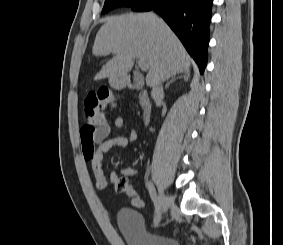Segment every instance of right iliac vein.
<instances>
[{"label": "right iliac vein", "mask_w": 283, "mask_h": 245, "mask_svg": "<svg viewBox=\"0 0 283 245\" xmlns=\"http://www.w3.org/2000/svg\"><path fill=\"white\" fill-rule=\"evenodd\" d=\"M159 195H160V202H161V207H160V220H161L162 215L166 213L167 209L170 206V200L168 196L162 190H159ZM160 220L156 219L155 223H158Z\"/></svg>", "instance_id": "obj_1"}]
</instances>
